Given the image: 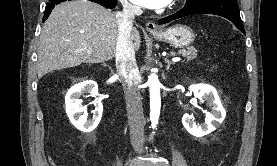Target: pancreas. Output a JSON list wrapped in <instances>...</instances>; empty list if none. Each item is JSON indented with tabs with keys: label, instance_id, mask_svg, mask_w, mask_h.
<instances>
[{
	"label": "pancreas",
	"instance_id": "pancreas-1",
	"mask_svg": "<svg viewBox=\"0 0 277 166\" xmlns=\"http://www.w3.org/2000/svg\"><path fill=\"white\" fill-rule=\"evenodd\" d=\"M178 54H181L186 57L187 60H190L197 57V50L194 47H189L187 49L179 50Z\"/></svg>",
	"mask_w": 277,
	"mask_h": 166
}]
</instances>
